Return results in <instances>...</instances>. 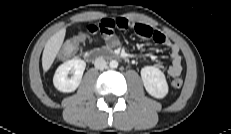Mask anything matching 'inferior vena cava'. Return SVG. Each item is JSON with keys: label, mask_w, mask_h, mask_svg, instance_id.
<instances>
[{"label": "inferior vena cava", "mask_w": 231, "mask_h": 134, "mask_svg": "<svg viewBox=\"0 0 231 134\" xmlns=\"http://www.w3.org/2000/svg\"><path fill=\"white\" fill-rule=\"evenodd\" d=\"M94 66L96 69L103 70L104 68H106L107 63L102 57H99L95 60Z\"/></svg>", "instance_id": "1"}]
</instances>
